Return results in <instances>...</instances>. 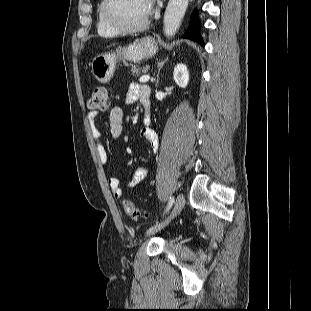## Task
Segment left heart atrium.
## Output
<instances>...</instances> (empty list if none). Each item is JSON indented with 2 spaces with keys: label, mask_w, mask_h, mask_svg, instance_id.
<instances>
[{
  "label": "left heart atrium",
  "mask_w": 311,
  "mask_h": 311,
  "mask_svg": "<svg viewBox=\"0 0 311 311\" xmlns=\"http://www.w3.org/2000/svg\"><path fill=\"white\" fill-rule=\"evenodd\" d=\"M145 3H146L147 10L150 14L151 11L153 10L154 0H145Z\"/></svg>",
  "instance_id": "left-heart-atrium-1"
}]
</instances>
